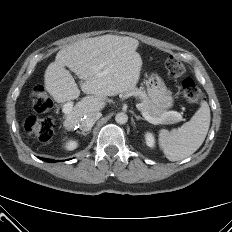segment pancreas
<instances>
[{
    "label": "pancreas",
    "instance_id": "pancreas-1",
    "mask_svg": "<svg viewBox=\"0 0 232 232\" xmlns=\"http://www.w3.org/2000/svg\"><path fill=\"white\" fill-rule=\"evenodd\" d=\"M124 93L129 96H135L139 98V100L141 101L140 107L146 112H148V114L151 117L162 118V123L171 124V123H175L179 121L177 116L173 114L167 115L166 114L167 112L165 110H162L158 105L153 103L145 91L138 89V88H134V89L125 91Z\"/></svg>",
    "mask_w": 232,
    "mask_h": 232
}]
</instances>
